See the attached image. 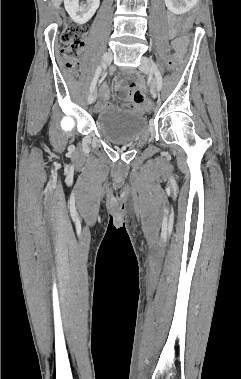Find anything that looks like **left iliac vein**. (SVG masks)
Masks as SVG:
<instances>
[{
  "instance_id": "left-iliac-vein-1",
  "label": "left iliac vein",
  "mask_w": 241,
  "mask_h": 379,
  "mask_svg": "<svg viewBox=\"0 0 241 379\" xmlns=\"http://www.w3.org/2000/svg\"><path fill=\"white\" fill-rule=\"evenodd\" d=\"M151 64H152V61L151 59H149L148 57L146 56H143L141 58V63H140V66H139V69L144 72V73H149L150 72V69H151ZM152 95L154 98L157 97V90L155 89L153 92H152Z\"/></svg>"
}]
</instances>
